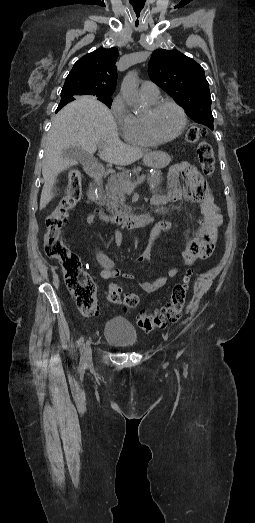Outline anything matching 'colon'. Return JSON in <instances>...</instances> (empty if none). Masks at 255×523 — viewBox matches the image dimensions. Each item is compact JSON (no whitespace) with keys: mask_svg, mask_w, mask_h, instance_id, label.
Here are the masks:
<instances>
[{"mask_svg":"<svg viewBox=\"0 0 255 523\" xmlns=\"http://www.w3.org/2000/svg\"><path fill=\"white\" fill-rule=\"evenodd\" d=\"M185 139L188 143L197 144V156L202 172L206 176L212 175L215 170V157L212 146L204 140V130L198 126H191ZM81 195L80 174L76 170H71L66 195L46 219L45 253L49 258L60 263L65 284L74 297L79 311L84 315H94L98 310L96 284L85 271L79 256L60 238L61 228L69 212L79 202ZM190 277V271L184 272L180 282L172 287L168 302L155 312L138 314L137 325L145 331H152L174 323L184 307ZM106 296L110 303H122L126 309L136 307L140 301L139 296L134 293H126L121 298L120 289L116 286H111Z\"/></svg>","mask_w":255,"mask_h":523,"instance_id":"colon-1","label":"colon"}]
</instances>
